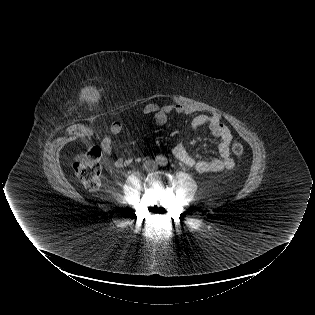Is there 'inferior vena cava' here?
Returning a JSON list of instances; mask_svg holds the SVG:
<instances>
[{
  "label": "inferior vena cava",
  "instance_id": "inferior-vena-cava-1",
  "mask_svg": "<svg viewBox=\"0 0 315 315\" xmlns=\"http://www.w3.org/2000/svg\"><path fill=\"white\" fill-rule=\"evenodd\" d=\"M152 164H153V162L149 161V162L146 163V167H150Z\"/></svg>",
  "mask_w": 315,
  "mask_h": 315
}]
</instances>
